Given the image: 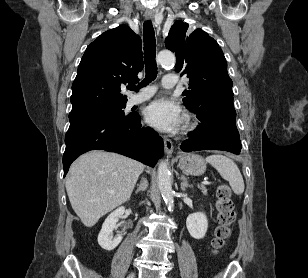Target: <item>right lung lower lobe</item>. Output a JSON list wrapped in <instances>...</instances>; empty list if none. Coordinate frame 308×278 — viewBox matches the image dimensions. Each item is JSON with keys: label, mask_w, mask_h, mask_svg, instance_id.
Instances as JSON below:
<instances>
[{"label": "right lung lower lobe", "mask_w": 308, "mask_h": 278, "mask_svg": "<svg viewBox=\"0 0 308 278\" xmlns=\"http://www.w3.org/2000/svg\"><path fill=\"white\" fill-rule=\"evenodd\" d=\"M65 143L64 177L70 164L90 150L116 152L152 167L163 156L164 150L162 138L153 129L141 127L138 114L117 119L98 116L73 119L65 135Z\"/></svg>", "instance_id": "1"}]
</instances>
